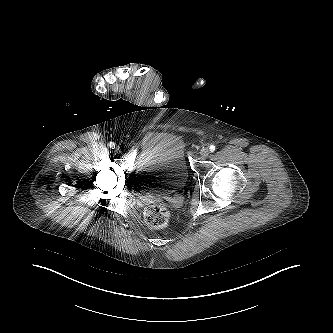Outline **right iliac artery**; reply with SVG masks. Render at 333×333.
Here are the masks:
<instances>
[{"mask_svg": "<svg viewBox=\"0 0 333 333\" xmlns=\"http://www.w3.org/2000/svg\"><path fill=\"white\" fill-rule=\"evenodd\" d=\"M108 146H109L110 148H114V147H115V143H114V142H110V143L108 144Z\"/></svg>", "mask_w": 333, "mask_h": 333, "instance_id": "right-iliac-artery-1", "label": "right iliac artery"}]
</instances>
